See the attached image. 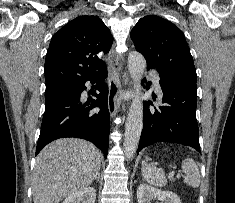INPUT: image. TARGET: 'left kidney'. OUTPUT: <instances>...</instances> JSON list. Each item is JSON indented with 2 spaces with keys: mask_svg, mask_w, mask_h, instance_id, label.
Instances as JSON below:
<instances>
[{
  "mask_svg": "<svg viewBox=\"0 0 235 203\" xmlns=\"http://www.w3.org/2000/svg\"><path fill=\"white\" fill-rule=\"evenodd\" d=\"M138 203H152L159 200L161 203H181L180 198L172 191H162L148 184L142 183L137 189Z\"/></svg>",
  "mask_w": 235,
  "mask_h": 203,
  "instance_id": "1",
  "label": "left kidney"
}]
</instances>
